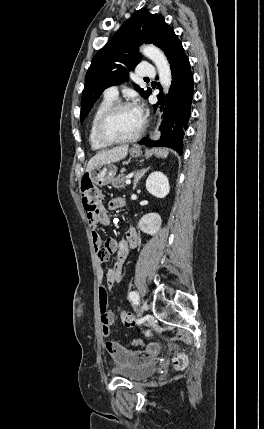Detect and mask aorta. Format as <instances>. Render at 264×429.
<instances>
[{"instance_id":"obj_1","label":"aorta","mask_w":264,"mask_h":429,"mask_svg":"<svg viewBox=\"0 0 264 429\" xmlns=\"http://www.w3.org/2000/svg\"><path fill=\"white\" fill-rule=\"evenodd\" d=\"M141 52L156 65L159 74V81L166 93L171 85L172 76L170 65L164 53L154 45L143 46L141 48Z\"/></svg>"}]
</instances>
